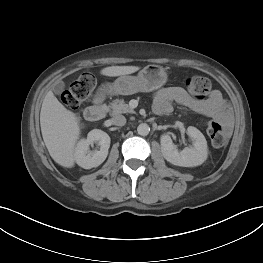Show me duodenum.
Masks as SVG:
<instances>
[{
	"label": "duodenum",
	"mask_w": 263,
	"mask_h": 263,
	"mask_svg": "<svg viewBox=\"0 0 263 263\" xmlns=\"http://www.w3.org/2000/svg\"><path fill=\"white\" fill-rule=\"evenodd\" d=\"M104 98L105 91L102 89L96 94L94 103L84 111V117L87 121L97 122L105 117L106 107L103 104Z\"/></svg>",
	"instance_id": "410a0bca"
}]
</instances>
